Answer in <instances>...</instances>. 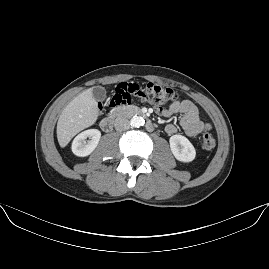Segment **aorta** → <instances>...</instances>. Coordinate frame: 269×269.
I'll return each instance as SVG.
<instances>
[{"instance_id": "aorta-1", "label": "aorta", "mask_w": 269, "mask_h": 269, "mask_svg": "<svg viewBox=\"0 0 269 269\" xmlns=\"http://www.w3.org/2000/svg\"><path fill=\"white\" fill-rule=\"evenodd\" d=\"M129 124L131 127L139 128L144 124V120L139 116H134L130 119Z\"/></svg>"}]
</instances>
